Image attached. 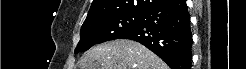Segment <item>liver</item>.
I'll return each mask as SVG.
<instances>
[{
	"label": "liver",
	"instance_id": "obj_1",
	"mask_svg": "<svg viewBox=\"0 0 246 69\" xmlns=\"http://www.w3.org/2000/svg\"><path fill=\"white\" fill-rule=\"evenodd\" d=\"M80 67L81 69H168V66L145 46L130 40L110 41L91 48L84 54Z\"/></svg>",
	"mask_w": 246,
	"mask_h": 69
}]
</instances>
